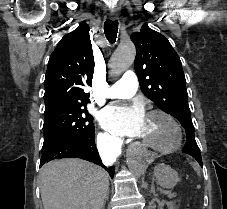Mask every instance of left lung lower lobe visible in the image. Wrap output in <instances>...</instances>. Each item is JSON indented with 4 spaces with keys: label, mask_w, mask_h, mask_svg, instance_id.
<instances>
[{
    "label": "left lung lower lobe",
    "mask_w": 227,
    "mask_h": 209,
    "mask_svg": "<svg viewBox=\"0 0 227 209\" xmlns=\"http://www.w3.org/2000/svg\"><path fill=\"white\" fill-rule=\"evenodd\" d=\"M198 162H199V164H201L202 165V159L201 158H198L197 156L195 157V156H193Z\"/></svg>",
    "instance_id": "0a47b994"
}]
</instances>
